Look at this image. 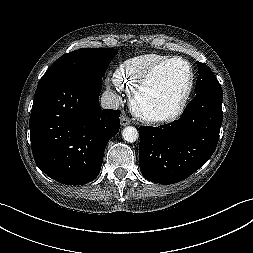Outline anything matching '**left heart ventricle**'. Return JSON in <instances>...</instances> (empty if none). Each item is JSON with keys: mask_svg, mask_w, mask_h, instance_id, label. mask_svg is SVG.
Here are the masks:
<instances>
[{"mask_svg": "<svg viewBox=\"0 0 253 253\" xmlns=\"http://www.w3.org/2000/svg\"><path fill=\"white\" fill-rule=\"evenodd\" d=\"M189 76V69L182 62L174 61L165 65L150 79L141 95L140 104L149 112H171L185 93Z\"/></svg>", "mask_w": 253, "mask_h": 253, "instance_id": "left-heart-ventricle-1", "label": "left heart ventricle"}]
</instances>
